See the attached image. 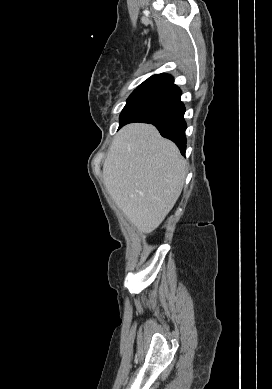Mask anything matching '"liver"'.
Returning a JSON list of instances; mask_svg holds the SVG:
<instances>
[{
    "instance_id": "obj_1",
    "label": "liver",
    "mask_w": 272,
    "mask_h": 389,
    "mask_svg": "<svg viewBox=\"0 0 272 389\" xmlns=\"http://www.w3.org/2000/svg\"><path fill=\"white\" fill-rule=\"evenodd\" d=\"M185 177L186 162L176 145L149 124L124 126L103 165L106 189L142 233L161 224L179 198Z\"/></svg>"
}]
</instances>
